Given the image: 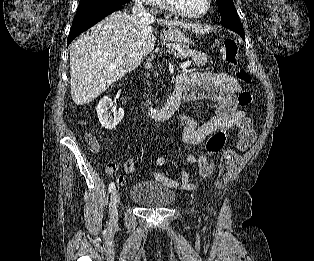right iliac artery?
<instances>
[{"label": "right iliac artery", "mask_w": 314, "mask_h": 261, "mask_svg": "<svg viewBox=\"0 0 314 261\" xmlns=\"http://www.w3.org/2000/svg\"><path fill=\"white\" fill-rule=\"evenodd\" d=\"M114 188H115V183L114 182H111L110 184H109V192H112L113 190H114Z\"/></svg>", "instance_id": "right-iliac-artery-1"}]
</instances>
